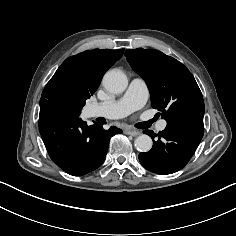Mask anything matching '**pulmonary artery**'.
<instances>
[{"label":"pulmonary artery","instance_id":"pulmonary-artery-1","mask_svg":"<svg viewBox=\"0 0 236 236\" xmlns=\"http://www.w3.org/2000/svg\"><path fill=\"white\" fill-rule=\"evenodd\" d=\"M148 95V88L145 81L140 77H135L131 80L128 89L122 97L116 100L90 104L87 107V114L89 117H97L106 111L113 118H123L142 108L148 99ZM166 126L167 122L161 120L157 128L162 131Z\"/></svg>","mask_w":236,"mask_h":236}]
</instances>
